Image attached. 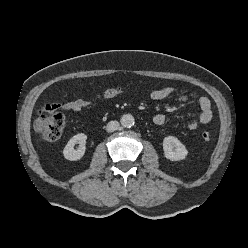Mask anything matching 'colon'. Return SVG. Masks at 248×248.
I'll return each mask as SVG.
<instances>
[{"mask_svg": "<svg viewBox=\"0 0 248 248\" xmlns=\"http://www.w3.org/2000/svg\"><path fill=\"white\" fill-rule=\"evenodd\" d=\"M121 87H110L98 91L90 97L91 102L111 99L122 93ZM65 119L61 113H48L40 115L35 121V129L45 141L52 142L58 140L63 132ZM202 139L209 141L211 135L208 131L202 133Z\"/></svg>", "mask_w": 248, "mask_h": 248, "instance_id": "1", "label": "colon"}]
</instances>
